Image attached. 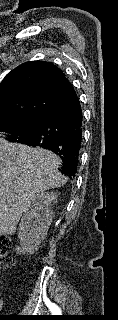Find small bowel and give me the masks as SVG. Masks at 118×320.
Returning a JSON list of instances; mask_svg holds the SVG:
<instances>
[{
	"mask_svg": "<svg viewBox=\"0 0 118 320\" xmlns=\"http://www.w3.org/2000/svg\"><path fill=\"white\" fill-rule=\"evenodd\" d=\"M2 309H3V302H2V300L0 299V312L2 311Z\"/></svg>",
	"mask_w": 118,
	"mask_h": 320,
	"instance_id": "1",
	"label": "small bowel"
}]
</instances>
